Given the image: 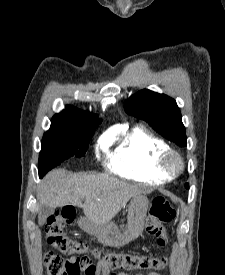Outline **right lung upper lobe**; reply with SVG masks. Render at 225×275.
<instances>
[{"mask_svg": "<svg viewBox=\"0 0 225 275\" xmlns=\"http://www.w3.org/2000/svg\"><path fill=\"white\" fill-rule=\"evenodd\" d=\"M52 123H67L74 125L98 126L101 122L97 115L84 112L72 106H67L59 114H55L51 120Z\"/></svg>", "mask_w": 225, "mask_h": 275, "instance_id": "1", "label": "right lung upper lobe"}]
</instances>
